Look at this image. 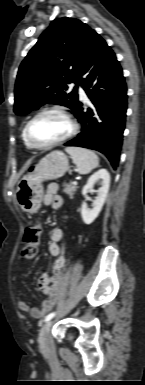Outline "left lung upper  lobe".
Listing matches in <instances>:
<instances>
[{"label":"left lung upper lobe","mask_w":145,"mask_h":385,"mask_svg":"<svg viewBox=\"0 0 145 385\" xmlns=\"http://www.w3.org/2000/svg\"><path fill=\"white\" fill-rule=\"evenodd\" d=\"M96 32L75 18L55 19L22 61L15 84L14 112L25 115L44 104H58L75 113L77 86Z\"/></svg>","instance_id":"left-lung-upper-lobe-1"}]
</instances>
